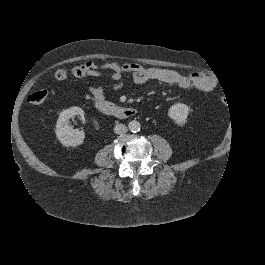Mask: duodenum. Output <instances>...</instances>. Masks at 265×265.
<instances>
[{
    "label": "duodenum",
    "instance_id": "410a0bca",
    "mask_svg": "<svg viewBox=\"0 0 265 265\" xmlns=\"http://www.w3.org/2000/svg\"><path fill=\"white\" fill-rule=\"evenodd\" d=\"M95 107L101 113L119 119H126L135 116L138 112L137 109L133 107L118 106L107 101L95 102Z\"/></svg>",
    "mask_w": 265,
    "mask_h": 265
}]
</instances>
